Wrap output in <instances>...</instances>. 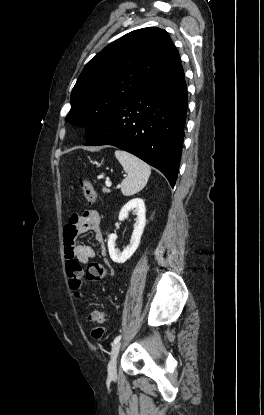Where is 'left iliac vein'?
<instances>
[{
  "mask_svg": "<svg viewBox=\"0 0 264 415\" xmlns=\"http://www.w3.org/2000/svg\"><path fill=\"white\" fill-rule=\"evenodd\" d=\"M120 347H121V342H117L112 347L111 358L108 364V375L112 379L117 376L116 359H117Z\"/></svg>",
  "mask_w": 264,
  "mask_h": 415,
  "instance_id": "left-iliac-vein-1",
  "label": "left iliac vein"
}]
</instances>
